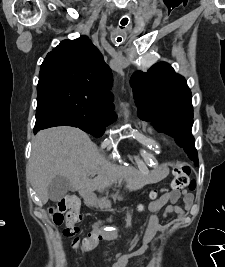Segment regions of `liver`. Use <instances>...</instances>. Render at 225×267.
<instances>
[{
	"label": "liver",
	"mask_w": 225,
	"mask_h": 267,
	"mask_svg": "<svg viewBox=\"0 0 225 267\" xmlns=\"http://www.w3.org/2000/svg\"><path fill=\"white\" fill-rule=\"evenodd\" d=\"M124 169L111 164L82 130L58 126L40 131L34 138L27 173L41 202L48 201V186L58 175L72 190H104ZM97 174L92 182L89 177Z\"/></svg>",
	"instance_id": "1"
}]
</instances>
